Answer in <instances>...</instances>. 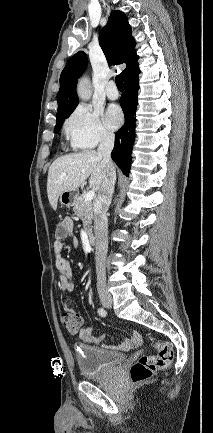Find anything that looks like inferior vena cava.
Listing matches in <instances>:
<instances>
[{
  "label": "inferior vena cava",
  "mask_w": 213,
  "mask_h": 433,
  "mask_svg": "<svg viewBox=\"0 0 213 433\" xmlns=\"http://www.w3.org/2000/svg\"><path fill=\"white\" fill-rule=\"evenodd\" d=\"M114 147V134L104 132L98 146V155L103 162V181L94 202V233H95V261L97 272V290L99 293L106 292V269L105 262L108 251V220L107 211L111 203L116 172L111 160V151Z\"/></svg>",
  "instance_id": "inferior-vena-cava-1"
}]
</instances>
